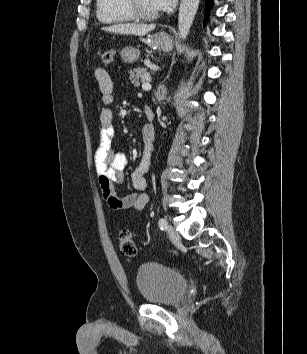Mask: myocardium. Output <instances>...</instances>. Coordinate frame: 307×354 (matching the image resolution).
Segmentation results:
<instances>
[{
	"instance_id": "myocardium-1",
	"label": "myocardium",
	"mask_w": 307,
	"mask_h": 354,
	"mask_svg": "<svg viewBox=\"0 0 307 354\" xmlns=\"http://www.w3.org/2000/svg\"><path fill=\"white\" fill-rule=\"evenodd\" d=\"M126 6L128 10L131 12V14L138 19H143V20H152L158 17V12L155 13H149L144 11L139 3L138 0H125Z\"/></svg>"
}]
</instances>
